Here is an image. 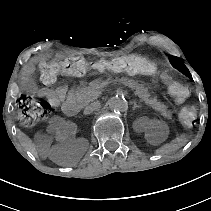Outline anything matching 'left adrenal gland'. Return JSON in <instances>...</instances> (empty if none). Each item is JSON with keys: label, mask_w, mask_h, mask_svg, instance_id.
I'll return each instance as SVG.
<instances>
[{"label": "left adrenal gland", "mask_w": 211, "mask_h": 211, "mask_svg": "<svg viewBox=\"0 0 211 211\" xmlns=\"http://www.w3.org/2000/svg\"><path fill=\"white\" fill-rule=\"evenodd\" d=\"M133 104H134L133 110H136V109H140L141 108L135 101L133 102Z\"/></svg>", "instance_id": "obj_1"}]
</instances>
